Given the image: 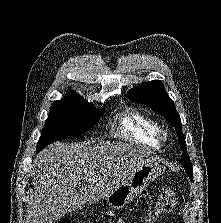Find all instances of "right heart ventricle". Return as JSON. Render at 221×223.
<instances>
[{
    "mask_svg": "<svg viewBox=\"0 0 221 223\" xmlns=\"http://www.w3.org/2000/svg\"><path fill=\"white\" fill-rule=\"evenodd\" d=\"M115 135L125 141L159 148V123L138 108H127L114 117Z\"/></svg>",
    "mask_w": 221,
    "mask_h": 223,
    "instance_id": "e07e8e85",
    "label": "right heart ventricle"
}]
</instances>
